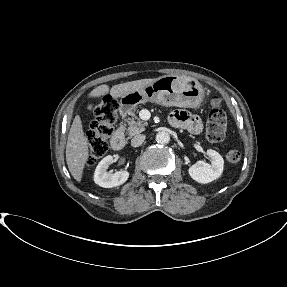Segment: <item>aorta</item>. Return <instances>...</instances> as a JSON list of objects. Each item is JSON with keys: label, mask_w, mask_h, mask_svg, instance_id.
I'll use <instances>...</instances> for the list:
<instances>
[{"label": "aorta", "mask_w": 287, "mask_h": 287, "mask_svg": "<svg viewBox=\"0 0 287 287\" xmlns=\"http://www.w3.org/2000/svg\"><path fill=\"white\" fill-rule=\"evenodd\" d=\"M155 139L159 144H167L170 141V135L166 131H160L156 134Z\"/></svg>", "instance_id": "obj_1"}]
</instances>
